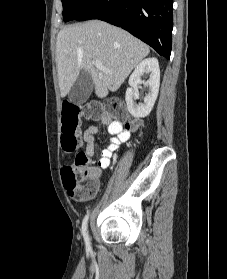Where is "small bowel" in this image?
<instances>
[{
	"label": "small bowel",
	"mask_w": 227,
	"mask_h": 279,
	"mask_svg": "<svg viewBox=\"0 0 227 279\" xmlns=\"http://www.w3.org/2000/svg\"><path fill=\"white\" fill-rule=\"evenodd\" d=\"M102 125L107 127V132L110 135L109 145L104 149L96 165H92L87 169V177L95 182L98 186V178L102 169H106L111 162L113 153L119 149L121 144L126 142L130 136V131L125 129L122 125H119L117 129L113 127L114 121L109 114H106L102 120ZM100 128L97 126H91L83 135V140L86 144L85 152L89 157H92L95 150L96 141L94 135L99 133ZM66 167L63 168V171Z\"/></svg>",
	"instance_id": "obj_1"
}]
</instances>
